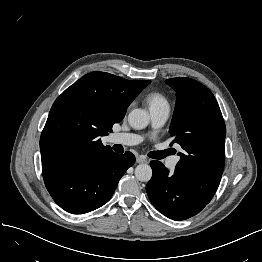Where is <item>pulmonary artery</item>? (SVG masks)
<instances>
[{"mask_svg": "<svg viewBox=\"0 0 262 262\" xmlns=\"http://www.w3.org/2000/svg\"><path fill=\"white\" fill-rule=\"evenodd\" d=\"M170 115L168 105H162L150 108L151 122L154 128L162 127ZM112 143H118L126 146L137 145L143 141L141 135L135 133H114L110 137ZM177 163V158H170L167 162V167L173 169Z\"/></svg>", "mask_w": 262, "mask_h": 262, "instance_id": "1", "label": "pulmonary artery"}]
</instances>
